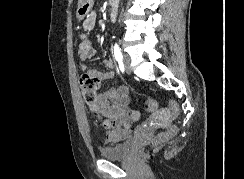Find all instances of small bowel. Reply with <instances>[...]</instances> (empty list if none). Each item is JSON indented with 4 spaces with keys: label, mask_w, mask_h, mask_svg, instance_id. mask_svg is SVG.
Segmentation results:
<instances>
[{
    "label": "small bowel",
    "mask_w": 244,
    "mask_h": 179,
    "mask_svg": "<svg viewBox=\"0 0 244 179\" xmlns=\"http://www.w3.org/2000/svg\"><path fill=\"white\" fill-rule=\"evenodd\" d=\"M80 19L82 20L84 30L89 31L93 29L96 24V13L90 9V18ZM78 55L83 62L94 58L96 55V51L86 33H81L79 35ZM104 65L107 68L106 71L88 68L84 63L80 65V69L86 71L90 75L98 77L100 80H107L113 76L111 69L114 66V62L111 58H106L104 60ZM127 91V86H123L119 89H106L98 95L96 101L97 111L109 118L112 122L110 130L106 133V139L109 142H119L125 139L130 132V126L128 125Z\"/></svg>",
    "instance_id": "obj_1"
}]
</instances>
